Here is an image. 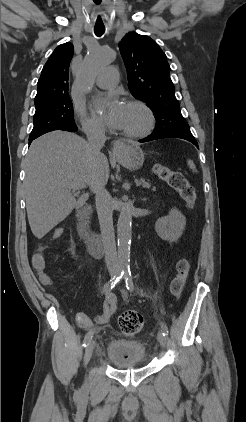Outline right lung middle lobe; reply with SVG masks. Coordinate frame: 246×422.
I'll list each match as a JSON object with an SVG mask.
<instances>
[{"instance_id": "dd1d6c3e", "label": "right lung middle lobe", "mask_w": 246, "mask_h": 422, "mask_svg": "<svg viewBox=\"0 0 246 422\" xmlns=\"http://www.w3.org/2000/svg\"><path fill=\"white\" fill-rule=\"evenodd\" d=\"M33 130L29 140L54 130L68 131L76 127L73 118V104L69 96L61 97L52 103L37 108L33 118Z\"/></svg>"}]
</instances>
